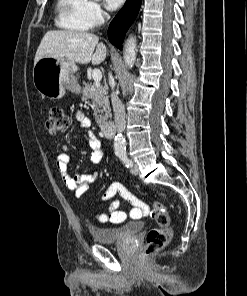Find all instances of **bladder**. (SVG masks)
Here are the masks:
<instances>
[{
	"instance_id": "31cf9c89",
	"label": "bladder",
	"mask_w": 247,
	"mask_h": 296,
	"mask_svg": "<svg viewBox=\"0 0 247 296\" xmlns=\"http://www.w3.org/2000/svg\"><path fill=\"white\" fill-rule=\"evenodd\" d=\"M144 227L141 221H131L120 227L100 228L89 227V231L95 242L101 244H110L122 242L139 233Z\"/></svg>"
}]
</instances>
